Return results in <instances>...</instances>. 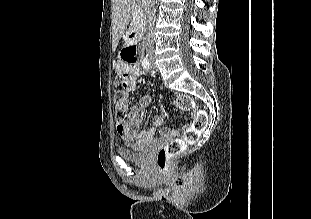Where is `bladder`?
Wrapping results in <instances>:
<instances>
[{"instance_id": "1", "label": "bladder", "mask_w": 311, "mask_h": 219, "mask_svg": "<svg viewBox=\"0 0 311 219\" xmlns=\"http://www.w3.org/2000/svg\"><path fill=\"white\" fill-rule=\"evenodd\" d=\"M149 149H150L149 144H144L142 146H135L132 148L120 146L117 148V153L121 158L127 161L143 162L149 154Z\"/></svg>"}]
</instances>
